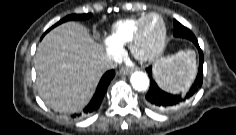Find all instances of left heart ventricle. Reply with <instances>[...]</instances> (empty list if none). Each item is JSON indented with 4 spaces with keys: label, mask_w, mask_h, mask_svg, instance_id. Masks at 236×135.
<instances>
[{
    "label": "left heart ventricle",
    "mask_w": 236,
    "mask_h": 135,
    "mask_svg": "<svg viewBox=\"0 0 236 135\" xmlns=\"http://www.w3.org/2000/svg\"><path fill=\"white\" fill-rule=\"evenodd\" d=\"M161 31L162 28L160 21L155 17L149 19L145 26L140 50L142 52L149 51L159 40Z\"/></svg>",
    "instance_id": "obj_1"
}]
</instances>
